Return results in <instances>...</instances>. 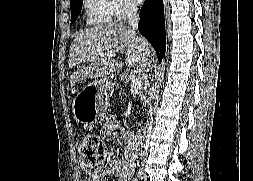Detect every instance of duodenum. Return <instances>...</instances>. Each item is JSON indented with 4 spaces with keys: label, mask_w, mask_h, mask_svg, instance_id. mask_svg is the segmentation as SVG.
<instances>
[{
    "label": "duodenum",
    "mask_w": 253,
    "mask_h": 181,
    "mask_svg": "<svg viewBox=\"0 0 253 181\" xmlns=\"http://www.w3.org/2000/svg\"><path fill=\"white\" fill-rule=\"evenodd\" d=\"M145 134H146L145 130H141V131H140V136L143 137V136H145Z\"/></svg>",
    "instance_id": "410a0bca"
}]
</instances>
